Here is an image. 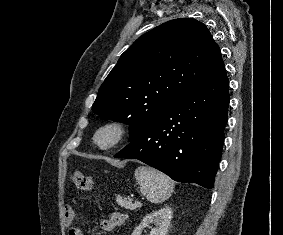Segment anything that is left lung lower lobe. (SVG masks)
<instances>
[{
    "label": "left lung lower lobe",
    "mask_w": 283,
    "mask_h": 235,
    "mask_svg": "<svg viewBox=\"0 0 283 235\" xmlns=\"http://www.w3.org/2000/svg\"><path fill=\"white\" fill-rule=\"evenodd\" d=\"M225 67L178 98L155 122L118 152L178 182L213 188L228 119Z\"/></svg>",
    "instance_id": "left-lung-lower-lobe-1"
}]
</instances>
